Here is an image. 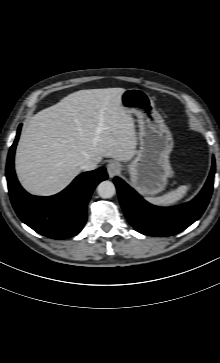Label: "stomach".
Returning <instances> with one entry per match:
<instances>
[{
	"mask_svg": "<svg viewBox=\"0 0 220 363\" xmlns=\"http://www.w3.org/2000/svg\"><path fill=\"white\" fill-rule=\"evenodd\" d=\"M121 106L128 114L137 116L139 126V150L129 165L131 183L142 195L158 194L172 174L171 132L145 91L126 89L121 95Z\"/></svg>",
	"mask_w": 220,
	"mask_h": 363,
	"instance_id": "0dacf381",
	"label": "stomach"
}]
</instances>
